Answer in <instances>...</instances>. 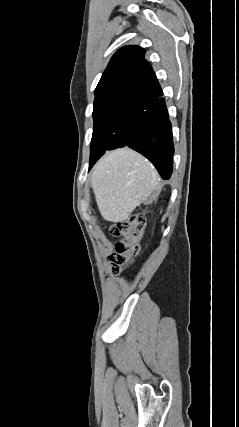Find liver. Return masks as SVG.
Wrapping results in <instances>:
<instances>
[{
  "mask_svg": "<svg viewBox=\"0 0 239 427\" xmlns=\"http://www.w3.org/2000/svg\"><path fill=\"white\" fill-rule=\"evenodd\" d=\"M159 180L148 160L129 148H121L96 164L91 185L102 217L116 223L127 220L138 205L156 197Z\"/></svg>",
  "mask_w": 239,
  "mask_h": 427,
  "instance_id": "obj_1",
  "label": "liver"
}]
</instances>
